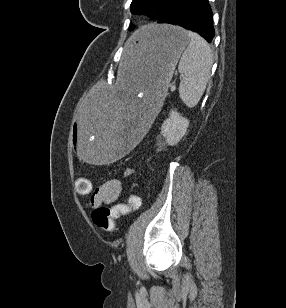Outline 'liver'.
Here are the masks:
<instances>
[{
  "label": "liver",
  "instance_id": "1",
  "mask_svg": "<svg viewBox=\"0 0 286 308\" xmlns=\"http://www.w3.org/2000/svg\"><path fill=\"white\" fill-rule=\"evenodd\" d=\"M137 35H138V31L135 32V33L130 37V39H129L128 42H127V49H128V53H129L131 59L134 58L133 42H134V40L137 38Z\"/></svg>",
  "mask_w": 286,
  "mask_h": 308
}]
</instances>
